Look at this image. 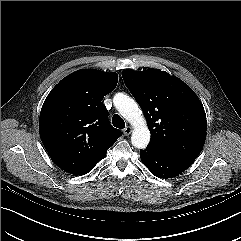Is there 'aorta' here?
<instances>
[{"instance_id": "aorta-1", "label": "aorta", "mask_w": 241, "mask_h": 241, "mask_svg": "<svg viewBox=\"0 0 241 241\" xmlns=\"http://www.w3.org/2000/svg\"><path fill=\"white\" fill-rule=\"evenodd\" d=\"M113 101L119 113L133 126L132 145L145 149L150 141V131L138 104L123 93L116 94Z\"/></svg>"}]
</instances>
